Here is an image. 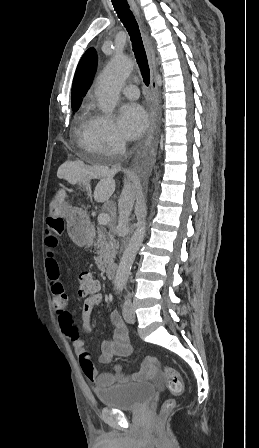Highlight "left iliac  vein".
<instances>
[{"label": "left iliac vein", "mask_w": 259, "mask_h": 448, "mask_svg": "<svg viewBox=\"0 0 259 448\" xmlns=\"http://www.w3.org/2000/svg\"><path fill=\"white\" fill-rule=\"evenodd\" d=\"M123 317L127 323L135 322L136 316H135L133 305L130 301L124 303Z\"/></svg>", "instance_id": "4c4485c4"}]
</instances>
